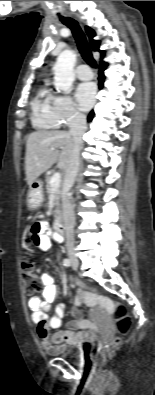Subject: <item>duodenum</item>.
Returning a JSON list of instances; mask_svg holds the SVG:
<instances>
[{
    "label": "duodenum",
    "mask_w": 155,
    "mask_h": 395,
    "mask_svg": "<svg viewBox=\"0 0 155 395\" xmlns=\"http://www.w3.org/2000/svg\"><path fill=\"white\" fill-rule=\"evenodd\" d=\"M55 230L56 233L60 236L63 237L65 234V224L64 221L61 218H57L55 221Z\"/></svg>",
    "instance_id": "obj_1"
}]
</instances>
